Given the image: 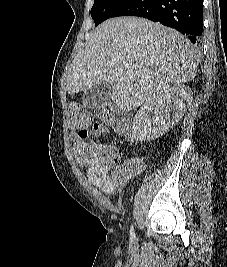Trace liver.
<instances>
[{
    "mask_svg": "<svg viewBox=\"0 0 227 267\" xmlns=\"http://www.w3.org/2000/svg\"><path fill=\"white\" fill-rule=\"evenodd\" d=\"M197 68V50L179 32L137 17L109 19L75 57L66 90L73 94L106 82L112 85L113 102L130 110L191 81Z\"/></svg>",
    "mask_w": 227,
    "mask_h": 267,
    "instance_id": "liver-1",
    "label": "liver"
}]
</instances>
